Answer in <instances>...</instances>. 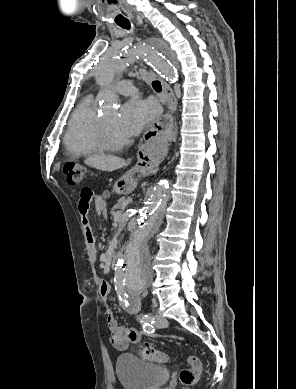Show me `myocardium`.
I'll use <instances>...</instances> for the list:
<instances>
[{
	"instance_id": "obj_1",
	"label": "myocardium",
	"mask_w": 296,
	"mask_h": 389,
	"mask_svg": "<svg viewBox=\"0 0 296 389\" xmlns=\"http://www.w3.org/2000/svg\"><path fill=\"white\" fill-rule=\"evenodd\" d=\"M97 137L101 147L104 150H118L126 146L129 142L127 138H123L120 140L111 139L107 132L106 125L102 117H99L97 121Z\"/></svg>"
}]
</instances>
